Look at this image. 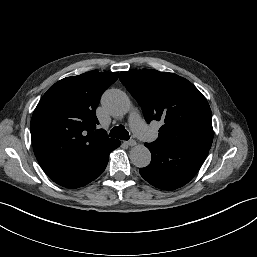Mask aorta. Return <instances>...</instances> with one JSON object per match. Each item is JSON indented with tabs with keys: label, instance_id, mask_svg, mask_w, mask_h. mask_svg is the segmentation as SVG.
Listing matches in <instances>:
<instances>
[{
	"label": "aorta",
	"instance_id": "762f6f07",
	"mask_svg": "<svg viewBox=\"0 0 257 257\" xmlns=\"http://www.w3.org/2000/svg\"><path fill=\"white\" fill-rule=\"evenodd\" d=\"M101 104L114 117L123 116L130 109L129 97L117 89L106 91L102 96ZM129 157L132 164L139 168L148 166L151 161V153L144 145H136L131 148Z\"/></svg>",
	"mask_w": 257,
	"mask_h": 257
}]
</instances>
